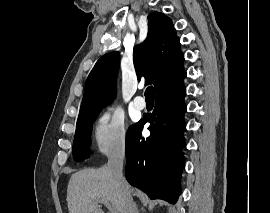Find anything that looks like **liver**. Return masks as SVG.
I'll return each mask as SVG.
<instances>
[{
  "instance_id": "1",
  "label": "liver",
  "mask_w": 270,
  "mask_h": 213,
  "mask_svg": "<svg viewBox=\"0 0 270 213\" xmlns=\"http://www.w3.org/2000/svg\"><path fill=\"white\" fill-rule=\"evenodd\" d=\"M130 192V187L128 185ZM105 200L116 213H123L122 190L107 166L87 168L72 174L67 188L69 213H103L100 201Z\"/></svg>"
}]
</instances>
